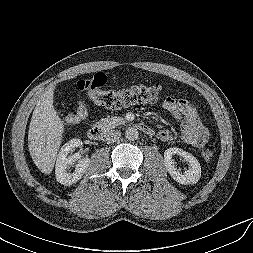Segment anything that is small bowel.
Listing matches in <instances>:
<instances>
[{
    "label": "small bowel",
    "mask_w": 253,
    "mask_h": 253,
    "mask_svg": "<svg viewBox=\"0 0 253 253\" xmlns=\"http://www.w3.org/2000/svg\"><path fill=\"white\" fill-rule=\"evenodd\" d=\"M163 107L180 123L182 138L187 144L196 148L205 145L208 130L201 123L197 110L189 99L167 96L163 101ZM157 138L167 142L171 140L172 135L168 130H160L157 132Z\"/></svg>",
    "instance_id": "obj_1"
}]
</instances>
